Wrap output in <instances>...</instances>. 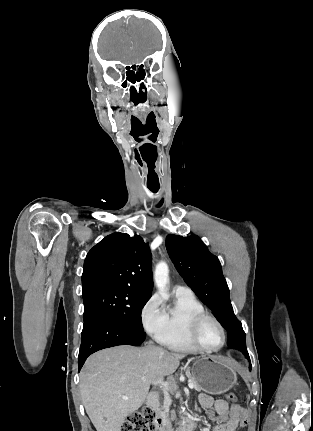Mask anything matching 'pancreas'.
<instances>
[{"instance_id": "1", "label": "pancreas", "mask_w": 313, "mask_h": 431, "mask_svg": "<svg viewBox=\"0 0 313 431\" xmlns=\"http://www.w3.org/2000/svg\"><path fill=\"white\" fill-rule=\"evenodd\" d=\"M186 375H187V377L189 378V382H191V383H193V384H194V389H195L196 391H201V390H202L201 386H200V385L196 382V380L191 376V374H190V372H189L188 370H187V372H186ZM171 402H172V400H171V397H170V395H169V392H168V391H165V392H164V402H163V407H162V408L164 409V412H165V413H168Z\"/></svg>"}]
</instances>
